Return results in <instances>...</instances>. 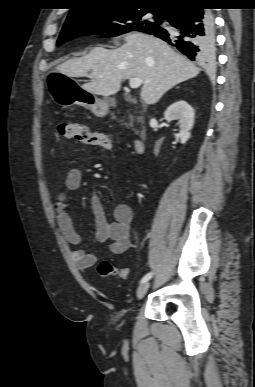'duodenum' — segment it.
I'll return each mask as SVG.
<instances>
[{
  "label": "duodenum",
  "instance_id": "duodenum-1",
  "mask_svg": "<svg viewBox=\"0 0 255 387\" xmlns=\"http://www.w3.org/2000/svg\"><path fill=\"white\" fill-rule=\"evenodd\" d=\"M134 149L137 153H141L143 151V143L140 140H136L134 143Z\"/></svg>",
  "mask_w": 255,
  "mask_h": 387
}]
</instances>
